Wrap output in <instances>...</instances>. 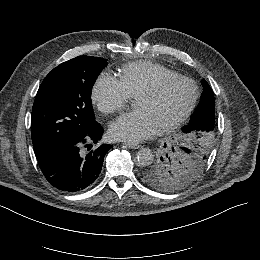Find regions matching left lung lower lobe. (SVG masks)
<instances>
[{
	"mask_svg": "<svg viewBox=\"0 0 260 260\" xmlns=\"http://www.w3.org/2000/svg\"><path fill=\"white\" fill-rule=\"evenodd\" d=\"M215 102L200 99L191 117L189 129L191 131H211L215 129Z\"/></svg>",
	"mask_w": 260,
	"mask_h": 260,
	"instance_id": "1",
	"label": "left lung lower lobe"
}]
</instances>
